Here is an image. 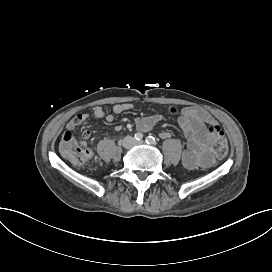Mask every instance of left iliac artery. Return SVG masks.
<instances>
[{"mask_svg": "<svg viewBox=\"0 0 272 272\" xmlns=\"http://www.w3.org/2000/svg\"><path fill=\"white\" fill-rule=\"evenodd\" d=\"M145 141H146L147 144H150V145H156L157 144L156 139L154 137H152V136H147L145 138Z\"/></svg>", "mask_w": 272, "mask_h": 272, "instance_id": "1", "label": "left iliac artery"}]
</instances>
